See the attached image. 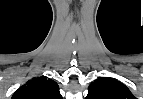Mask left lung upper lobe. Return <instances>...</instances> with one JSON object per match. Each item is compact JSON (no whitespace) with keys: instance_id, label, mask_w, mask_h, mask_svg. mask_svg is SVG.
I'll use <instances>...</instances> for the list:
<instances>
[{"instance_id":"obj_1","label":"left lung upper lobe","mask_w":143,"mask_h":99,"mask_svg":"<svg viewBox=\"0 0 143 99\" xmlns=\"http://www.w3.org/2000/svg\"><path fill=\"white\" fill-rule=\"evenodd\" d=\"M86 99H136V97L118 80L101 77L90 84Z\"/></svg>"}]
</instances>
